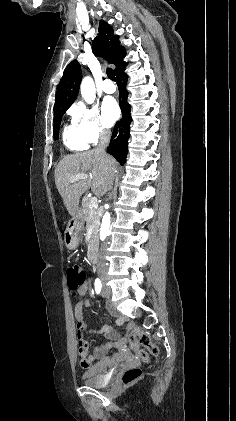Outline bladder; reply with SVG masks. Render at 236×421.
<instances>
[{
	"label": "bladder",
	"mask_w": 236,
	"mask_h": 421,
	"mask_svg": "<svg viewBox=\"0 0 236 421\" xmlns=\"http://www.w3.org/2000/svg\"><path fill=\"white\" fill-rule=\"evenodd\" d=\"M82 383L88 386H103L102 377L96 370H92L91 373H86L82 379Z\"/></svg>",
	"instance_id": "bladder-1"
}]
</instances>
